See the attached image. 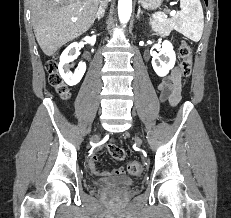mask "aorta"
Segmentation results:
<instances>
[{
  "label": "aorta",
  "mask_w": 231,
  "mask_h": 218,
  "mask_svg": "<svg viewBox=\"0 0 231 218\" xmlns=\"http://www.w3.org/2000/svg\"><path fill=\"white\" fill-rule=\"evenodd\" d=\"M132 13V0L118 1V16L121 23H127Z\"/></svg>",
  "instance_id": "762f6f07"
}]
</instances>
